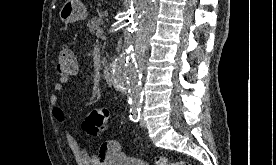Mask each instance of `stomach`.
I'll use <instances>...</instances> for the list:
<instances>
[{
  "mask_svg": "<svg viewBox=\"0 0 276 165\" xmlns=\"http://www.w3.org/2000/svg\"><path fill=\"white\" fill-rule=\"evenodd\" d=\"M59 16L65 24H70L84 20L87 10L80 0H67L61 8Z\"/></svg>",
  "mask_w": 276,
  "mask_h": 165,
  "instance_id": "stomach-1",
  "label": "stomach"
}]
</instances>
